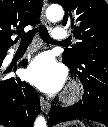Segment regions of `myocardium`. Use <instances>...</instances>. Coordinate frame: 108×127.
I'll return each instance as SVG.
<instances>
[{
	"label": "myocardium",
	"mask_w": 108,
	"mask_h": 127,
	"mask_svg": "<svg viewBox=\"0 0 108 127\" xmlns=\"http://www.w3.org/2000/svg\"><path fill=\"white\" fill-rule=\"evenodd\" d=\"M82 89L78 82L72 81L65 89L62 99L67 104H72L78 101L81 97Z\"/></svg>",
	"instance_id": "1"
}]
</instances>
